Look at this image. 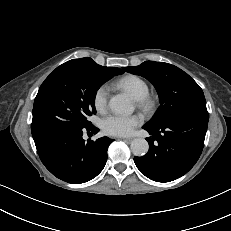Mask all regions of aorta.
Masks as SVG:
<instances>
[{"label": "aorta", "mask_w": 231, "mask_h": 231, "mask_svg": "<svg viewBox=\"0 0 231 231\" xmlns=\"http://www.w3.org/2000/svg\"><path fill=\"white\" fill-rule=\"evenodd\" d=\"M109 107L116 113L131 114L134 111L130 99L121 94L113 96L110 99ZM130 148L135 156H143L148 152L149 144L143 138H136L131 142Z\"/></svg>", "instance_id": "aorta-1"}]
</instances>
